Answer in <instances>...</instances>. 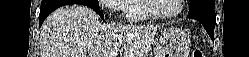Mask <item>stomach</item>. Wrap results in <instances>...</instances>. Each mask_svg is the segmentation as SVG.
Instances as JSON below:
<instances>
[{"label":"stomach","mask_w":249,"mask_h":57,"mask_svg":"<svg viewBox=\"0 0 249 57\" xmlns=\"http://www.w3.org/2000/svg\"><path fill=\"white\" fill-rule=\"evenodd\" d=\"M190 38L176 27L164 28L154 50V57H188Z\"/></svg>","instance_id":"1"}]
</instances>
